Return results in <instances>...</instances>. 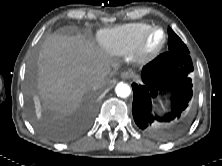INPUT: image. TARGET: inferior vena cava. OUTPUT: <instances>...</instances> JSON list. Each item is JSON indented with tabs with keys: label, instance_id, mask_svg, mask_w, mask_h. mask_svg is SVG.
<instances>
[{
	"label": "inferior vena cava",
	"instance_id": "1",
	"mask_svg": "<svg viewBox=\"0 0 222 166\" xmlns=\"http://www.w3.org/2000/svg\"><path fill=\"white\" fill-rule=\"evenodd\" d=\"M88 81L92 85L100 86L102 83V77L101 76H90Z\"/></svg>",
	"mask_w": 222,
	"mask_h": 166
}]
</instances>
